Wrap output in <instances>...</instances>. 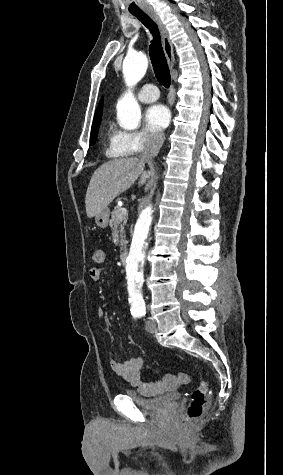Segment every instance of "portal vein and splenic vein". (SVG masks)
Returning <instances> with one entry per match:
<instances>
[{"mask_svg":"<svg viewBox=\"0 0 283 475\" xmlns=\"http://www.w3.org/2000/svg\"><path fill=\"white\" fill-rule=\"evenodd\" d=\"M123 210V214H126L127 210H125V208H122Z\"/></svg>","mask_w":283,"mask_h":475,"instance_id":"obj_1","label":"portal vein and splenic vein"}]
</instances>
